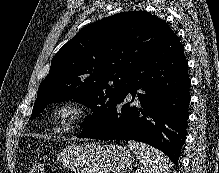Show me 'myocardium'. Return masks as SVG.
Segmentation results:
<instances>
[{
  "instance_id": "f54148a6",
  "label": "myocardium",
  "mask_w": 219,
  "mask_h": 173,
  "mask_svg": "<svg viewBox=\"0 0 219 173\" xmlns=\"http://www.w3.org/2000/svg\"><path fill=\"white\" fill-rule=\"evenodd\" d=\"M87 116V108L76 100H65L53 109L54 130L58 134H67Z\"/></svg>"
}]
</instances>
